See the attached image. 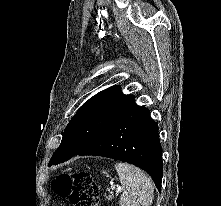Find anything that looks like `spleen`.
Listing matches in <instances>:
<instances>
[{
  "label": "spleen",
  "instance_id": "obj_1",
  "mask_svg": "<svg viewBox=\"0 0 221 206\" xmlns=\"http://www.w3.org/2000/svg\"><path fill=\"white\" fill-rule=\"evenodd\" d=\"M115 168L124 189L120 206H150L154 196L151 179L141 169L127 163L118 162Z\"/></svg>",
  "mask_w": 221,
  "mask_h": 206
}]
</instances>
